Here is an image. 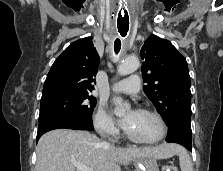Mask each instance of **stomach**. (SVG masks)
<instances>
[{
  "instance_id": "stomach-1",
  "label": "stomach",
  "mask_w": 223,
  "mask_h": 171,
  "mask_svg": "<svg viewBox=\"0 0 223 171\" xmlns=\"http://www.w3.org/2000/svg\"><path fill=\"white\" fill-rule=\"evenodd\" d=\"M137 171H159L157 161L153 157H144L135 162Z\"/></svg>"
}]
</instances>
